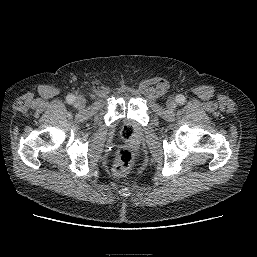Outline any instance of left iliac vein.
I'll list each match as a JSON object with an SVG mask.
<instances>
[{"label": "left iliac vein", "instance_id": "left-iliac-vein-1", "mask_svg": "<svg viewBox=\"0 0 257 257\" xmlns=\"http://www.w3.org/2000/svg\"><path fill=\"white\" fill-rule=\"evenodd\" d=\"M166 106L169 110H174L177 107V101L174 98H169L166 102Z\"/></svg>", "mask_w": 257, "mask_h": 257}]
</instances>
